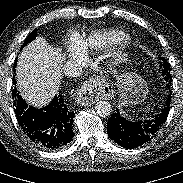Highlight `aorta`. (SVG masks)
Instances as JSON below:
<instances>
[{"label": "aorta", "mask_w": 183, "mask_h": 183, "mask_svg": "<svg viewBox=\"0 0 183 183\" xmlns=\"http://www.w3.org/2000/svg\"><path fill=\"white\" fill-rule=\"evenodd\" d=\"M96 113L101 117L110 116L112 113V108L109 102L99 101L95 106Z\"/></svg>", "instance_id": "1"}]
</instances>
